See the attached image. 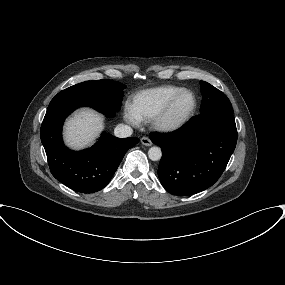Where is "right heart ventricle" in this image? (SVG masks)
I'll return each instance as SVG.
<instances>
[{
	"label": "right heart ventricle",
	"instance_id": "right-heart-ventricle-1",
	"mask_svg": "<svg viewBox=\"0 0 285 285\" xmlns=\"http://www.w3.org/2000/svg\"><path fill=\"white\" fill-rule=\"evenodd\" d=\"M183 87L165 85L141 90L135 93L130 100V108L139 120L154 118L166 103Z\"/></svg>",
	"mask_w": 285,
	"mask_h": 285
}]
</instances>
